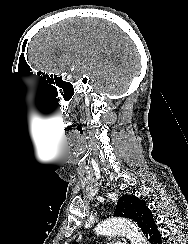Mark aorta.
I'll list each match as a JSON object with an SVG mask.
<instances>
[{
  "label": "aorta",
  "mask_w": 188,
  "mask_h": 244,
  "mask_svg": "<svg viewBox=\"0 0 188 244\" xmlns=\"http://www.w3.org/2000/svg\"><path fill=\"white\" fill-rule=\"evenodd\" d=\"M99 235H125L131 244H147L138 227L130 220L120 217H111L104 220L96 228Z\"/></svg>",
  "instance_id": "1"
}]
</instances>
